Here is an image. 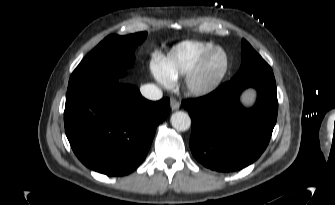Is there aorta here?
<instances>
[{"mask_svg": "<svg viewBox=\"0 0 335 205\" xmlns=\"http://www.w3.org/2000/svg\"><path fill=\"white\" fill-rule=\"evenodd\" d=\"M171 124L178 131H186L191 126V118L187 113L177 111L171 116Z\"/></svg>", "mask_w": 335, "mask_h": 205, "instance_id": "aorta-1", "label": "aorta"}]
</instances>
